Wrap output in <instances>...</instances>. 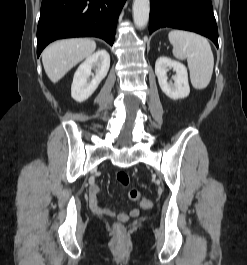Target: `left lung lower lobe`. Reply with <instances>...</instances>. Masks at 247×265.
I'll return each mask as SVG.
<instances>
[{
	"instance_id": "0a47b994",
	"label": "left lung lower lobe",
	"mask_w": 247,
	"mask_h": 265,
	"mask_svg": "<svg viewBox=\"0 0 247 265\" xmlns=\"http://www.w3.org/2000/svg\"><path fill=\"white\" fill-rule=\"evenodd\" d=\"M163 27L199 33L218 47L211 0H150L149 33Z\"/></svg>"
}]
</instances>
